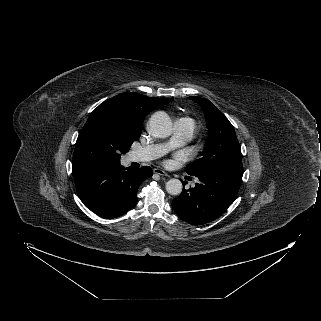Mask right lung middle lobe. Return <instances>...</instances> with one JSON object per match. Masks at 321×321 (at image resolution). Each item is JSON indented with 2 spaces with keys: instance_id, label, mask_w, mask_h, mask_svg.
<instances>
[{
  "instance_id": "right-lung-middle-lobe-1",
  "label": "right lung middle lobe",
  "mask_w": 321,
  "mask_h": 321,
  "mask_svg": "<svg viewBox=\"0 0 321 321\" xmlns=\"http://www.w3.org/2000/svg\"><path fill=\"white\" fill-rule=\"evenodd\" d=\"M140 137V130L124 123L115 113L96 108L82 128L75 145L72 169L120 163L121 154Z\"/></svg>"
}]
</instances>
